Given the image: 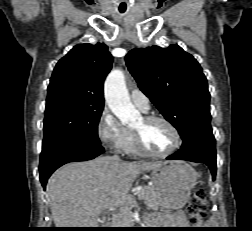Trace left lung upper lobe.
<instances>
[{"label": "left lung upper lobe", "instance_id": "5c2ea615", "mask_svg": "<svg viewBox=\"0 0 252 231\" xmlns=\"http://www.w3.org/2000/svg\"><path fill=\"white\" fill-rule=\"evenodd\" d=\"M125 60L138 87L182 139L212 131L207 79L192 55L173 44L135 48Z\"/></svg>", "mask_w": 252, "mask_h": 231}]
</instances>
